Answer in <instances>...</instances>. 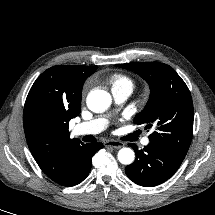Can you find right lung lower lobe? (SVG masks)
<instances>
[{"mask_svg": "<svg viewBox=\"0 0 215 215\" xmlns=\"http://www.w3.org/2000/svg\"><path fill=\"white\" fill-rule=\"evenodd\" d=\"M103 147L102 143L81 144L71 154L69 171L62 186H73L82 182L89 174L92 165V156Z\"/></svg>", "mask_w": 215, "mask_h": 215, "instance_id": "obj_1", "label": "right lung lower lobe"}]
</instances>
